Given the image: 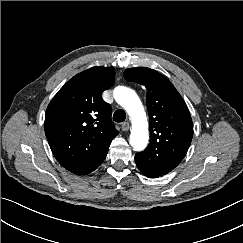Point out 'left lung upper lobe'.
Segmentation results:
<instances>
[{"label": "left lung upper lobe", "mask_w": 243, "mask_h": 243, "mask_svg": "<svg viewBox=\"0 0 243 243\" xmlns=\"http://www.w3.org/2000/svg\"><path fill=\"white\" fill-rule=\"evenodd\" d=\"M123 75L147 89L150 143L135 155L136 165L142 172L163 176L178 166L191 144L193 123L188 107L172 83L153 69L129 68Z\"/></svg>", "instance_id": "left-lung-upper-lobe-1"}]
</instances>
